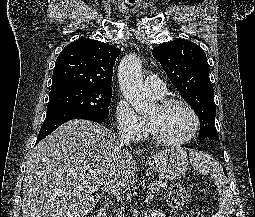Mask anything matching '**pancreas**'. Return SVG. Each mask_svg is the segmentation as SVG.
I'll return each mask as SVG.
<instances>
[{"instance_id": "pancreas-1", "label": "pancreas", "mask_w": 255, "mask_h": 217, "mask_svg": "<svg viewBox=\"0 0 255 217\" xmlns=\"http://www.w3.org/2000/svg\"><path fill=\"white\" fill-rule=\"evenodd\" d=\"M166 186V182L162 180L154 181L153 187L155 192L158 194L160 190L164 189ZM109 217H126L122 210H115L114 215H110Z\"/></svg>"}]
</instances>
